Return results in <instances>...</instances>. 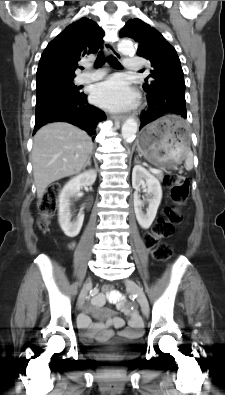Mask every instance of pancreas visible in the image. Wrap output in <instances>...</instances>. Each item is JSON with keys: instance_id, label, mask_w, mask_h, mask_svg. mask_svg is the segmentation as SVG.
Returning a JSON list of instances; mask_svg holds the SVG:
<instances>
[{"instance_id": "1", "label": "pancreas", "mask_w": 225, "mask_h": 395, "mask_svg": "<svg viewBox=\"0 0 225 395\" xmlns=\"http://www.w3.org/2000/svg\"><path fill=\"white\" fill-rule=\"evenodd\" d=\"M156 176H157V178L160 179V180L163 179V174H162V173H158V174H156Z\"/></svg>"}]
</instances>
